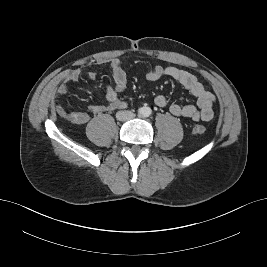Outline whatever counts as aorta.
<instances>
[{"mask_svg": "<svg viewBox=\"0 0 267 267\" xmlns=\"http://www.w3.org/2000/svg\"><path fill=\"white\" fill-rule=\"evenodd\" d=\"M151 112H152V110H151V108H149V107H142V108L140 109V113H141L144 117H149V116L151 115Z\"/></svg>", "mask_w": 267, "mask_h": 267, "instance_id": "1", "label": "aorta"}]
</instances>
